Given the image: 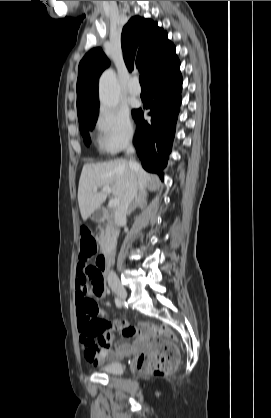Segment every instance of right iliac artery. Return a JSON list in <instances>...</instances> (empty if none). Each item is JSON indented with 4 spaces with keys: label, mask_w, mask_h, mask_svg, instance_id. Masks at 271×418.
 Masks as SVG:
<instances>
[{
    "label": "right iliac artery",
    "mask_w": 271,
    "mask_h": 418,
    "mask_svg": "<svg viewBox=\"0 0 271 418\" xmlns=\"http://www.w3.org/2000/svg\"><path fill=\"white\" fill-rule=\"evenodd\" d=\"M115 304L118 308H121L122 305H123L121 299H119V298H115Z\"/></svg>",
    "instance_id": "obj_1"
}]
</instances>
